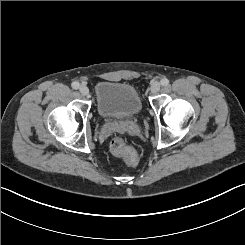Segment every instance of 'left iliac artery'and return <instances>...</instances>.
<instances>
[{"mask_svg":"<svg viewBox=\"0 0 245 245\" xmlns=\"http://www.w3.org/2000/svg\"><path fill=\"white\" fill-rule=\"evenodd\" d=\"M160 83L162 86H167L169 84V80L167 78H163L161 79Z\"/></svg>","mask_w":245,"mask_h":245,"instance_id":"obj_1","label":"left iliac artery"}]
</instances>
